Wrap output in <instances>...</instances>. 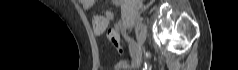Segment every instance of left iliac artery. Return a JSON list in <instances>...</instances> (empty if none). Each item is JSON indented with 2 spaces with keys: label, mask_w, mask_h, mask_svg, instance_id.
I'll use <instances>...</instances> for the list:
<instances>
[{
  "label": "left iliac artery",
  "mask_w": 238,
  "mask_h": 70,
  "mask_svg": "<svg viewBox=\"0 0 238 70\" xmlns=\"http://www.w3.org/2000/svg\"><path fill=\"white\" fill-rule=\"evenodd\" d=\"M140 27H141L140 24H137V25L135 26V28H136L137 31L140 29Z\"/></svg>",
  "instance_id": "1"
}]
</instances>
